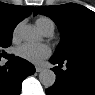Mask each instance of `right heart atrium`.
I'll list each match as a JSON object with an SVG mask.
<instances>
[{
	"mask_svg": "<svg viewBox=\"0 0 95 95\" xmlns=\"http://www.w3.org/2000/svg\"><path fill=\"white\" fill-rule=\"evenodd\" d=\"M21 25H22L21 23L17 24L13 30L12 36H13V39L15 40L19 38V32H20Z\"/></svg>",
	"mask_w": 95,
	"mask_h": 95,
	"instance_id": "right-heart-atrium-1",
	"label": "right heart atrium"
}]
</instances>
